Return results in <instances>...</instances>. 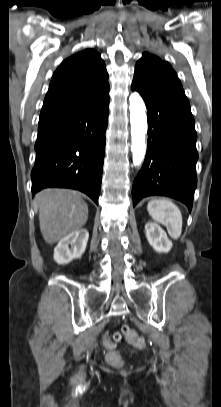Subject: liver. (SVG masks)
<instances>
[{"label": "liver", "instance_id": "liver-1", "mask_svg": "<svg viewBox=\"0 0 221 407\" xmlns=\"http://www.w3.org/2000/svg\"><path fill=\"white\" fill-rule=\"evenodd\" d=\"M40 231L46 243L54 244L79 230L88 219V206L76 191L45 189L36 197Z\"/></svg>", "mask_w": 221, "mask_h": 407}]
</instances>
